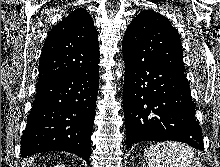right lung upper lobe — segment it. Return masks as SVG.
Wrapping results in <instances>:
<instances>
[{"label":"right lung upper lobe","mask_w":220,"mask_h":167,"mask_svg":"<svg viewBox=\"0 0 220 167\" xmlns=\"http://www.w3.org/2000/svg\"><path fill=\"white\" fill-rule=\"evenodd\" d=\"M98 33L89 13L76 9L48 34L39 63V81L43 84L99 63Z\"/></svg>","instance_id":"right-lung-upper-lobe-1"}]
</instances>
